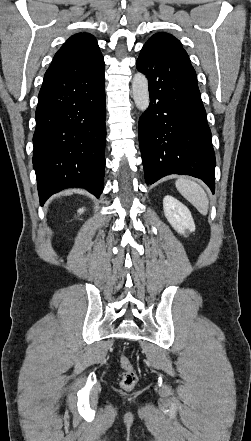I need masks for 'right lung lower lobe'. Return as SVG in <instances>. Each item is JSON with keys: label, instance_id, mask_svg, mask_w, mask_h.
Here are the masks:
<instances>
[{"label": "right lung lower lobe", "instance_id": "1", "mask_svg": "<svg viewBox=\"0 0 251 441\" xmlns=\"http://www.w3.org/2000/svg\"><path fill=\"white\" fill-rule=\"evenodd\" d=\"M35 118L33 166L40 204L70 187L99 197L105 167L104 66L81 75L45 76Z\"/></svg>", "mask_w": 251, "mask_h": 441}]
</instances>
